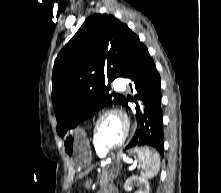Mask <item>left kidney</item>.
<instances>
[{
	"label": "left kidney",
	"instance_id": "obj_1",
	"mask_svg": "<svg viewBox=\"0 0 221 193\" xmlns=\"http://www.w3.org/2000/svg\"><path fill=\"white\" fill-rule=\"evenodd\" d=\"M135 184L140 186V189L136 191L135 193H149L148 181L144 178H140L137 176H132L128 178L125 182L124 189L126 191H131Z\"/></svg>",
	"mask_w": 221,
	"mask_h": 193
}]
</instances>
